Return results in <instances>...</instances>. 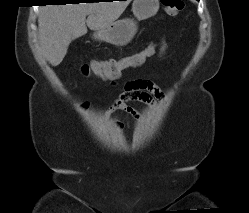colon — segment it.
I'll return each instance as SVG.
<instances>
[{"mask_svg":"<svg viewBox=\"0 0 249 213\" xmlns=\"http://www.w3.org/2000/svg\"><path fill=\"white\" fill-rule=\"evenodd\" d=\"M161 4L168 14L176 15L184 8L183 0H161ZM154 52L153 46H148L140 52L132 54L131 58L94 60L82 64L80 71L83 75H95L104 79H113L120 75L121 71L142 59L150 57Z\"/></svg>","mask_w":249,"mask_h":213,"instance_id":"1","label":"colon"}]
</instances>
